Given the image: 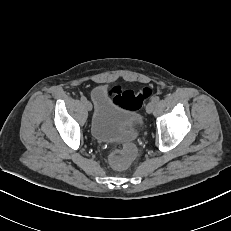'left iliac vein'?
<instances>
[{"mask_svg": "<svg viewBox=\"0 0 231 231\" xmlns=\"http://www.w3.org/2000/svg\"><path fill=\"white\" fill-rule=\"evenodd\" d=\"M156 102L155 101H150L147 106H146V111L147 113H152L154 108H155Z\"/></svg>", "mask_w": 231, "mask_h": 231, "instance_id": "left-iliac-vein-1", "label": "left iliac vein"}]
</instances>
